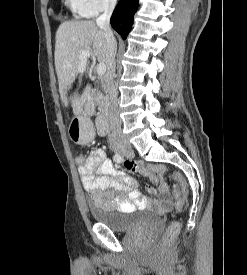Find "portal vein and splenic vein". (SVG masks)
Instances as JSON below:
<instances>
[{
    "instance_id": "1",
    "label": "portal vein and splenic vein",
    "mask_w": 247,
    "mask_h": 275,
    "mask_svg": "<svg viewBox=\"0 0 247 275\" xmlns=\"http://www.w3.org/2000/svg\"><path fill=\"white\" fill-rule=\"evenodd\" d=\"M91 57V52L88 51V50H83L81 51L80 53V65L78 66V70L80 72H83L84 71V66H85V63L87 61L88 58ZM97 74L99 76H103L105 73H106V65L105 64H99L97 66Z\"/></svg>"
}]
</instances>
